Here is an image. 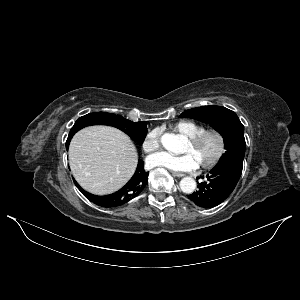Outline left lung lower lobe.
<instances>
[{"mask_svg": "<svg viewBox=\"0 0 300 300\" xmlns=\"http://www.w3.org/2000/svg\"><path fill=\"white\" fill-rule=\"evenodd\" d=\"M242 167V160L234 158L221 160L207 175V182L200 183L199 190L188 195V198L202 208H213L221 204L234 190L241 176Z\"/></svg>", "mask_w": 300, "mask_h": 300, "instance_id": "1", "label": "left lung lower lobe"}]
</instances>
